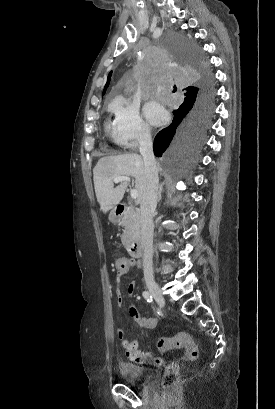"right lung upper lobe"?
<instances>
[{
    "label": "right lung upper lobe",
    "mask_w": 275,
    "mask_h": 409,
    "mask_svg": "<svg viewBox=\"0 0 275 409\" xmlns=\"http://www.w3.org/2000/svg\"><path fill=\"white\" fill-rule=\"evenodd\" d=\"M111 75H112V71H111V72L109 73V75H108L107 83H106V85H105V87H104V90H103L102 95H104L105 92H106V88L108 87L109 82H110V80H111ZM194 90H195V86H188L187 88H185V93H184V95H185L186 97H185L184 102L187 101V100L191 97V95L193 94Z\"/></svg>",
    "instance_id": "right-lung-upper-lobe-1"
}]
</instances>
